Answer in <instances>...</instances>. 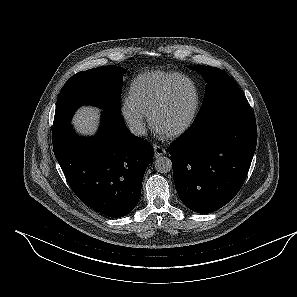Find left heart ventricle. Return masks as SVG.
<instances>
[{
  "mask_svg": "<svg viewBox=\"0 0 297 297\" xmlns=\"http://www.w3.org/2000/svg\"><path fill=\"white\" fill-rule=\"evenodd\" d=\"M193 99L190 84L186 81L179 82L173 89L167 104L156 115V128L160 132H169L181 125L191 111Z\"/></svg>",
  "mask_w": 297,
  "mask_h": 297,
  "instance_id": "obj_1",
  "label": "left heart ventricle"
}]
</instances>
